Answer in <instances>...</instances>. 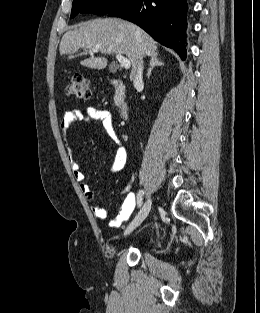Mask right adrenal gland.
<instances>
[{
    "label": "right adrenal gland",
    "mask_w": 260,
    "mask_h": 313,
    "mask_svg": "<svg viewBox=\"0 0 260 313\" xmlns=\"http://www.w3.org/2000/svg\"><path fill=\"white\" fill-rule=\"evenodd\" d=\"M164 65V63L162 61L159 60L158 58V53H155L151 56V60H150V68L146 74L147 78H150L151 72L154 69V67L156 66H162Z\"/></svg>",
    "instance_id": "1"
}]
</instances>
